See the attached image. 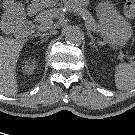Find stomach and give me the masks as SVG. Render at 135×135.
Listing matches in <instances>:
<instances>
[{
    "label": "stomach",
    "mask_w": 135,
    "mask_h": 135,
    "mask_svg": "<svg viewBox=\"0 0 135 135\" xmlns=\"http://www.w3.org/2000/svg\"><path fill=\"white\" fill-rule=\"evenodd\" d=\"M101 33L114 47H122L133 34L131 24L120 15L114 5L109 2H101L97 8Z\"/></svg>",
    "instance_id": "stomach-1"
}]
</instances>
